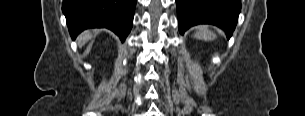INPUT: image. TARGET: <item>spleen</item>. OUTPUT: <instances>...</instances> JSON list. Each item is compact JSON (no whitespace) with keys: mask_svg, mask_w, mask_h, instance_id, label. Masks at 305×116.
Wrapping results in <instances>:
<instances>
[{"mask_svg":"<svg viewBox=\"0 0 305 116\" xmlns=\"http://www.w3.org/2000/svg\"><path fill=\"white\" fill-rule=\"evenodd\" d=\"M194 37L204 40H213L215 39L216 35L212 31L208 30L205 26H199L194 34Z\"/></svg>","mask_w":305,"mask_h":116,"instance_id":"spleen-1","label":"spleen"}]
</instances>
